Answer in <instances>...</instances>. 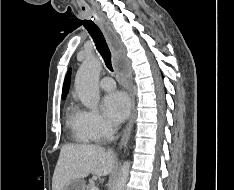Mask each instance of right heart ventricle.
<instances>
[{"label": "right heart ventricle", "instance_id": "right-heart-ventricle-1", "mask_svg": "<svg viewBox=\"0 0 234 190\" xmlns=\"http://www.w3.org/2000/svg\"><path fill=\"white\" fill-rule=\"evenodd\" d=\"M67 125L77 141L84 143L95 141L92 135L83 127L80 120V111L73 106L67 109Z\"/></svg>", "mask_w": 234, "mask_h": 190}]
</instances>
